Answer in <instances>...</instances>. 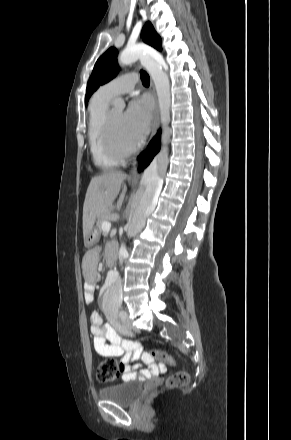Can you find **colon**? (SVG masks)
Segmentation results:
<instances>
[{
    "label": "colon",
    "instance_id": "5ec220e1",
    "mask_svg": "<svg viewBox=\"0 0 291 440\" xmlns=\"http://www.w3.org/2000/svg\"><path fill=\"white\" fill-rule=\"evenodd\" d=\"M155 357H160L165 361L172 364L171 358L159 351H152L150 353H144L145 359H154ZM120 369L116 362L113 360H107L101 363L96 370V375L101 382H111L118 378ZM189 382V374L185 371H178L173 374L169 381L168 386L171 388L186 385Z\"/></svg>",
    "mask_w": 291,
    "mask_h": 440
}]
</instances>
